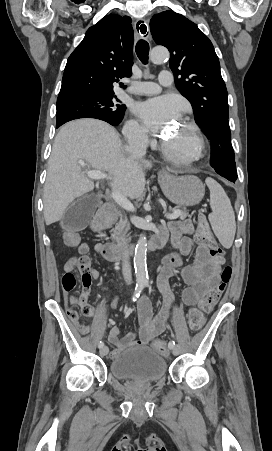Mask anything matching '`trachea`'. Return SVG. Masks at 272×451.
Instances as JSON below:
<instances>
[{"label":"trachea","mask_w":272,"mask_h":451,"mask_svg":"<svg viewBox=\"0 0 272 451\" xmlns=\"http://www.w3.org/2000/svg\"><path fill=\"white\" fill-rule=\"evenodd\" d=\"M138 25H139V23H138ZM140 27L146 29V25H144V23H142L140 25ZM135 50H136V54L139 57V59L141 60V62L146 64L148 62V54H149L148 42H146V40H139L137 42Z\"/></svg>","instance_id":"1"}]
</instances>
